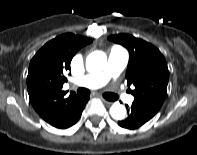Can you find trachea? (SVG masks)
Segmentation results:
<instances>
[{
  "mask_svg": "<svg viewBox=\"0 0 197 155\" xmlns=\"http://www.w3.org/2000/svg\"><path fill=\"white\" fill-rule=\"evenodd\" d=\"M77 93L83 96H87L90 94V90L86 89V88H79L77 90ZM103 97L108 100V101H116L118 99V95L114 94V93H104Z\"/></svg>",
  "mask_w": 197,
  "mask_h": 155,
  "instance_id": "1",
  "label": "trachea"
}]
</instances>
